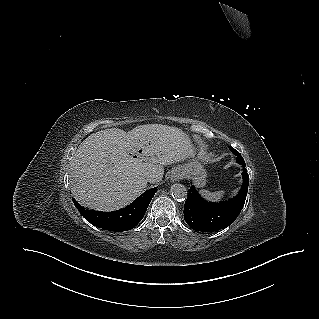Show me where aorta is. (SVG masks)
Here are the masks:
<instances>
[{"instance_id": "762f6f07", "label": "aorta", "mask_w": 319, "mask_h": 319, "mask_svg": "<svg viewBox=\"0 0 319 319\" xmlns=\"http://www.w3.org/2000/svg\"><path fill=\"white\" fill-rule=\"evenodd\" d=\"M171 195L177 201H184L188 192L184 185L176 183L171 187Z\"/></svg>"}]
</instances>
